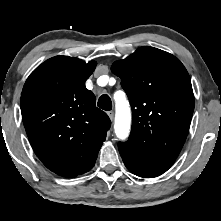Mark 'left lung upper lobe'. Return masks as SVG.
<instances>
[{"instance_id":"left-lung-upper-lobe-1","label":"left lung upper lobe","mask_w":221,"mask_h":221,"mask_svg":"<svg viewBox=\"0 0 221 221\" xmlns=\"http://www.w3.org/2000/svg\"><path fill=\"white\" fill-rule=\"evenodd\" d=\"M111 71L131 103L128 143L142 152L176 159L186 140L194 110L191 80L172 54L144 46L113 63Z\"/></svg>"}]
</instances>
